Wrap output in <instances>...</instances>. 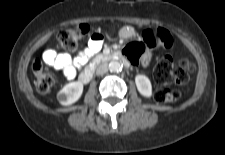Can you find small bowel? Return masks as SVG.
Here are the masks:
<instances>
[{
    "label": "small bowel",
    "instance_id": "obj_1",
    "mask_svg": "<svg viewBox=\"0 0 225 155\" xmlns=\"http://www.w3.org/2000/svg\"><path fill=\"white\" fill-rule=\"evenodd\" d=\"M134 35L133 30H125L123 32L124 37H132ZM103 46V36L100 34H94L88 41L87 47L81 51L76 57H72L66 53H58L53 48H47L42 54L43 61L56 69H59L67 78H73L76 73V69L84 65L88 59L101 50ZM151 59L150 52L146 51L141 56L139 63L142 65H148Z\"/></svg>",
    "mask_w": 225,
    "mask_h": 155
}]
</instances>
